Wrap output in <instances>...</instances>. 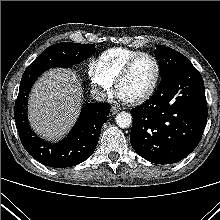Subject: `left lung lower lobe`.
<instances>
[{
    "label": "left lung lower lobe",
    "mask_w": 220,
    "mask_h": 220,
    "mask_svg": "<svg viewBox=\"0 0 220 220\" xmlns=\"http://www.w3.org/2000/svg\"><path fill=\"white\" fill-rule=\"evenodd\" d=\"M130 113V142L142 158L156 164L184 159L200 142L207 122L201 74L193 65L171 72L150 99Z\"/></svg>",
    "instance_id": "0a47b994"
}]
</instances>
